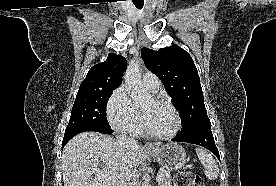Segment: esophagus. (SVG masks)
I'll return each instance as SVG.
<instances>
[{
  "label": "esophagus",
  "mask_w": 276,
  "mask_h": 186,
  "mask_svg": "<svg viewBox=\"0 0 276 186\" xmlns=\"http://www.w3.org/2000/svg\"><path fill=\"white\" fill-rule=\"evenodd\" d=\"M145 148L151 149V148H153V145L151 143H146Z\"/></svg>",
  "instance_id": "34e87169"
}]
</instances>
